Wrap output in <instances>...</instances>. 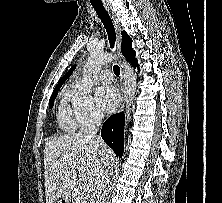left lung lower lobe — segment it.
Masks as SVG:
<instances>
[{
  "mask_svg": "<svg viewBox=\"0 0 222 203\" xmlns=\"http://www.w3.org/2000/svg\"><path fill=\"white\" fill-rule=\"evenodd\" d=\"M128 61L134 66V67H137L138 66V61L137 59L135 58V53L128 58Z\"/></svg>",
  "mask_w": 222,
  "mask_h": 203,
  "instance_id": "obj_1",
  "label": "left lung lower lobe"
}]
</instances>
